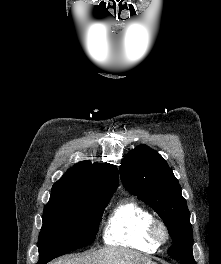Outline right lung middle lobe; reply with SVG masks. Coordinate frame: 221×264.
<instances>
[{
  "instance_id": "obj_1",
  "label": "right lung middle lobe",
  "mask_w": 221,
  "mask_h": 264,
  "mask_svg": "<svg viewBox=\"0 0 221 264\" xmlns=\"http://www.w3.org/2000/svg\"><path fill=\"white\" fill-rule=\"evenodd\" d=\"M112 194L94 196L77 203L49 201L43 211L39 234V262L91 244L99 230L103 211Z\"/></svg>"
}]
</instances>
